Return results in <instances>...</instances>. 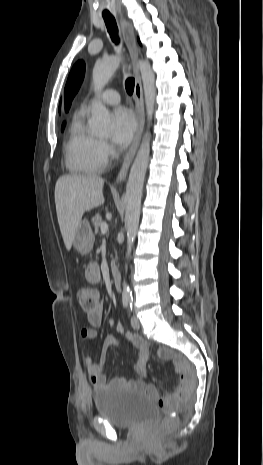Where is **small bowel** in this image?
Listing matches in <instances>:
<instances>
[{"mask_svg": "<svg viewBox=\"0 0 263 465\" xmlns=\"http://www.w3.org/2000/svg\"><path fill=\"white\" fill-rule=\"evenodd\" d=\"M85 277L86 280L90 284H98L101 281V271L100 267L97 263L91 262L87 265L85 270ZM87 320L89 323V327H85L81 330L80 335L82 340L91 342L95 339L97 335V329L101 326L103 320V306L99 304L97 308L87 313ZM123 341L131 342L138 352V361L135 366L136 372L140 375L145 374V367L148 360L149 355V346L146 340L142 337L135 335V334H126L124 337H119L115 335L107 336L103 342L102 349H101V360L100 362H96L95 358L92 355H87L85 357V363L87 366L89 379L92 385L99 389L103 388L107 385L113 387H125V386H135L138 388H142L152 394L155 397H158V393L154 386L147 385L142 381H128L121 377H116L112 379L110 382L107 381V374L105 371V361L107 351L111 346H115L120 344ZM163 356L168 358L170 354L165 352ZM187 375H183L185 377ZM165 398H174L172 395H169Z\"/></svg>", "mask_w": 263, "mask_h": 465, "instance_id": "obj_1", "label": "small bowel"}]
</instances>
